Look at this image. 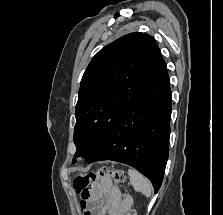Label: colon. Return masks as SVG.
<instances>
[{"instance_id":"obj_1","label":"colon","mask_w":223,"mask_h":215,"mask_svg":"<svg viewBox=\"0 0 223 215\" xmlns=\"http://www.w3.org/2000/svg\"><path fill=\"white\" fill-rule=\"evenodd\" d=\"M103 178H113L117 182H123L125 180V174L121 170L102 167L98 171L78 174L73 181V186L75 190L83 196L90 190L94 183ZM126 215L137 214L134 209H129Z\"/></svg>"}]
</instances>
